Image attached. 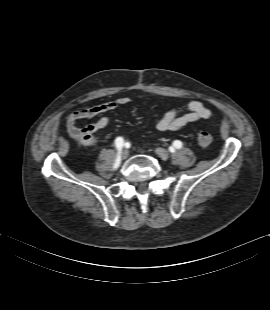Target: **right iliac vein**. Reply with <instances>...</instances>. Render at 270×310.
<instances>
[{"label": "right iliac vein", "mask_w": 270, "mask_h": 310, "mask_svg": "<svg viewBox=\"0 0 270 310\" xmlns=\"http://www.w3.org/2000/svg\"><path fill=\"white\" fill-rule=\"evenodd\" d=\"M128 155H129V152H128L127 149H125V150L122 152V157H123V159H126V158L128 157Z\"/></svg>", "instance_id": "right-iliac-vein-1"}]
</instances>
